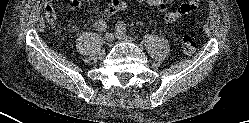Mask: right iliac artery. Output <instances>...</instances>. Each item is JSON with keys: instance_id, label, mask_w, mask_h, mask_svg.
Masks as SVG:
<instances>
[{"instance_id": "obj_1", "label": "right iliac artery", "mask_w": 249, "mask_h": 123, "mask_svg": "<svg viewBox=\"0 0 249 123\" xmlns=\"http://www.w3.org/2000/svg\"><path fill=\"white\" fill-rule=\"evenodd\" d=\"M95 27L99 30V31H105L106 29V22L104 20H99L98 22L95 23Z\"/></svg>"}]
</instances>
